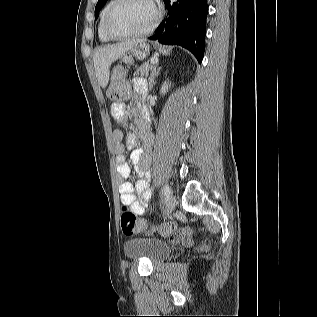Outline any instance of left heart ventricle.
Returning <instances> with one entry per match:
<instances>
[{"label":"left heart ventricle","instance_id":"obj_1","mask_svg":"<svg viewBox=\"0 0 317 317\" xmlns=\"http://www.w3.org/2000/svg\"><path fill=\"white\" fill-rule=\"evenodd\" d=\"M154 16L148 0H124L115 10L110 27L119 35L137 33L145 29Z\"/></svg>","mask_w":317,"mask_h":317}]
</instances>
